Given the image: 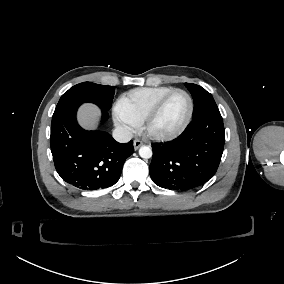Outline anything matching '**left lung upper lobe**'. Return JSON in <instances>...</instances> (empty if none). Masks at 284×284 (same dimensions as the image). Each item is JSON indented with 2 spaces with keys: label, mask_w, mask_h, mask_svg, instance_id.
Returning <instances> with one entry per match:
<instances>
[{
  "label": "left lung upper lobe",
  "mask_w": 284,
  "mask_h": 284,
  "mask_svg": "<svg viewBox=\"0 0 284 284\" xmlns=\"http://www.w3.org/2000/svg\"><path fill=\"white\" fill-rule=\"evenodd\" d=\"M186 88L192 94L194 100L193 119L208 112H218L219 109L212 97L204 88L199 85L185 83Z\"/></svg>",
  "instance_id": "left-lung-upper-lobe-1"
}]
</instances>
